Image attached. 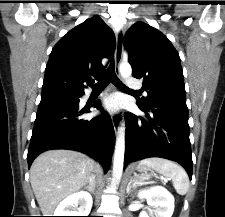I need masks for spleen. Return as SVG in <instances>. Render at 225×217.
Here are the masks:
<instances>
[{
	"instance_id": "1",
	"label": "spleen",
	"mask_w": 225,
	"mask_h": 217,
	"mask_svg": "<svg viewBox=\"0 0 225 217\" xmlns=\"http://www.w3.org/2000/svg\"><path fill=\"white\" fill-rule=\"evenodd\" d=\"M139 164L172 179L173 186L178 194L185 195L187 193L189 178L185 170L177 163L168 159L153 157L143 159Z\"/></svg>"
}]
</instances>
